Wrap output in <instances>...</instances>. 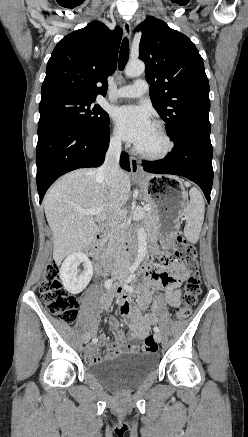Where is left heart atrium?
<instances>
[{"label":"left heart atrium","mask_w":248,"mask_h":437,"mask_svg":"<svg viewBox=\"0 0 248 437\" xmlns=\"http://www.w3.org/2000/svg\"><path fill=\"white\" fill-rule=\"evenodd\" d=\"M119 135L126 141L138 145L150 132L153 123L145 107L126 105L113 114Z\"/></svg>","instance_id":"left-heart-atrium-1"}]
</instances>
